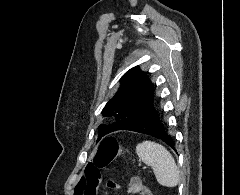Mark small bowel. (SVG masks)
Here are the masks:
<instances>
[{
	"label": "small bowel",
	"instance_id": "c3829d8e",
	"mask_svg": "<svg viewBox=\"0 0 240 195\" xmlns=\"http://www.w3.org/2000/svg\"><path fill=\"white\" fill-rule=\"evenodd\" d=\"M120 186H115V190H119ZM127 192L132 195H153L151 190L143 185L138 177H131L128 183Z\"/></svg>",
	"mask_w": 240,
	"mask_h": 195
}]
</instances>
